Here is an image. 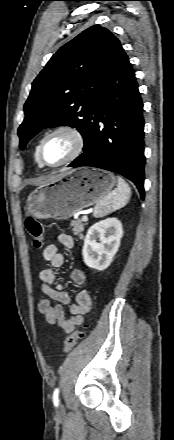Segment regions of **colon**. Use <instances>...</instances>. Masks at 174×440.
I'll return each instance as SVG.
<instances>
[{"instance_id": "5ec220e1", "label": "colon", "mask_w": 174, "mask_h": 440, "mask_svg": "<svg viewBox=\"0 0 174 440\" xmlns=\"http://www.w3.org/2000/svg\"><path fill=\"white\" fill-rule=\"evenodd\" d=\"M26 229L32 238L34 248L41 249L44 246V229L43 225L34 218H28L25 222ZM87 325H83L81 328L73 331L69 334L65 340L63 351L65 353L70 352L78 341L83 337L84 330Z\"/></svg>"}]
</instances>
